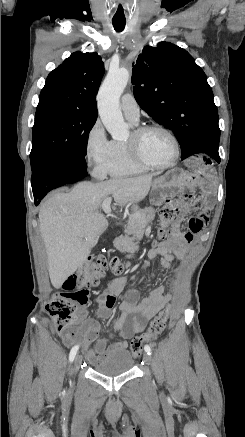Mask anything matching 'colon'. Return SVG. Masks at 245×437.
I'll return each mask as SVG.
<instances>
[{"label":"colon","mask_w":245,"mask_h":437,"mask_svg":"<svg viewBox=\"0 0 245 437\" xmlns=\"http://www.w3.org/2000/svg\"><path fill=\"white\" fill-rule=\"evenodd\" d=\"M177 211L178 206L171 200H167L159 209L160 237L166 236V226L176 219ZM108 268L114 274H121L126 266L117 257H108L101 253L91 255L64 281L62 291L47 303L46 309L61 334L72 338L83 336L84 327H79L78 323L83 318L82 310L90 300V288L105 279ZM169 312L168 307L161 310L148 329L131 341L133 355H140L143 344L154 340L166 328Z\"/></svg>","instance_id":"1"}]
</instances>
